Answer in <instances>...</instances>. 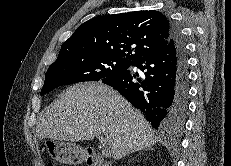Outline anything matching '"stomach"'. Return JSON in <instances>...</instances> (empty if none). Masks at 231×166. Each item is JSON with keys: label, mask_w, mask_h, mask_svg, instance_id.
Here are the masks:
<instances>
[{"label": "stomach", "mask_w": 231, "mask_h": 166, "mask_svg": "<svg viewBox=\"0 0 231 166\" xmlns=\"http://www.w3.org/2000/svg\"><path fill=\"white\" fill-rule=\"evenodd\" d=\"M49 155L60 163L75 165L85 159V150L70 141H48L46 143Z\"/></svg>", "instance_id": "0dacf381"}]
</instances>
